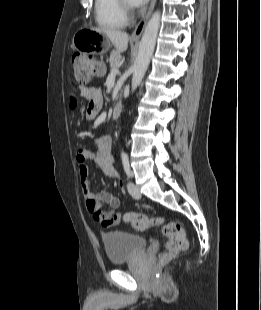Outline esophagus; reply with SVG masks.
Here are the masks:
<instances>
[{
  "instance_id": "34e87169",
  "label": "esophagus",
  "mask_w": 261,
  "mask_h": 310,
  "mask_svg": "<svg viewBox=\"0 0 261 310\" xmlns=\"http://www.w3.org/2000/svg\"><path fill=\"white\" fill-rule=\"evenodd\" d=\"M155 3H156V0H151V3H150V6H149V9L147 11V13L145 14V16L142 18V20L137 24V26L135 27L132 35H131V38L133 40H137L141 37L143 31H144V28L146 26V23L154 9V6H155Z\"/></svg>"
}]
</instances>
